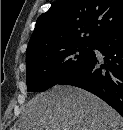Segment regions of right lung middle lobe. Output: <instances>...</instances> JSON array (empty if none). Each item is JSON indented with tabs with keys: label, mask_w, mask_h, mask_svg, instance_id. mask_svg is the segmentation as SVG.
I'll return each instance as SVG.
<instances>
[{
	"label": "right lung middle lobe",
	"mask_w": 123,
	"mask_h": 130,
	"mask_svg": "<svg viewBox=\"0 0 123 130\" xmlns=\"http://www.w3.org/2000/svg\"><path fill=\"white\" fill-rule=\"evenodd\" d=\"M93 44H78L27 61V90L45 91L59 84L92 54Z\"/></svg>",
	"instance_id": "obj_1"
}]
</instances>
